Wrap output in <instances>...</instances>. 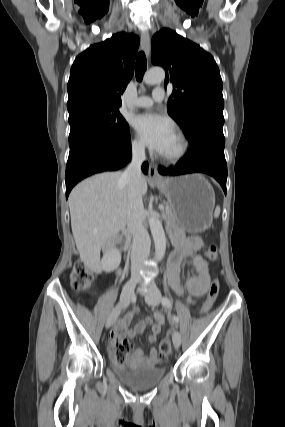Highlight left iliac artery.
Instances as JSON below:
<instances>
[{
  "instance_id": "obj_1",
  "label": "left iliac artery",
  "mask_w": 285,
  "mask_h": 427,
  "mask_svg": "<svg viewBox=\"0 0 285 427\" xmlns=\"http://www.w3.org/2000/svg\"><path fill=\"white\" fill-rule=\"evenodd\" d=\"M162 305L166 308L171 309L172 308V303L170 301V299L167 296H164L162 298ZM172 320L174 323H178L179 322V318L176 315L172 316Z\"/></svg>"
}]
</instances>
